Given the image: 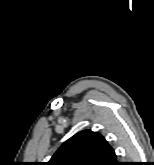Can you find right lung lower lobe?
I'll use <instances>...</instances> for the list:
<instances>
[{
    "label": "right lung lower lobe",
    "mask_w": 154,
    "mask_h": 165,
    "mask_svg": "<svg viewBox=\"0 0 154 165\" xmlns=\"http://www.w3.org/2000/svg\"><path fill=\"white\" fill-rule=\"evenodd\" d=\"M114 165H118V163L116 162Z\"/></svg>",
    "instance_id": "obj_1"
}]
</instances>
